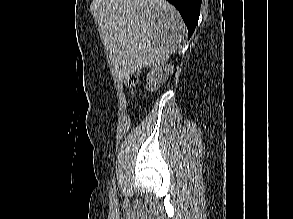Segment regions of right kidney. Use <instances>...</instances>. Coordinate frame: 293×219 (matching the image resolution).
Listing matches in <instances>:
<instances>
[{
    "label": "right kidney",
    "mask_w": 293,
    "mask_h": 219,
    "mask_svg": "<svg viewBox=\"0 0 293 219\" xmlns=\"http://www.w3.org/2000/svg\"><path fill=\"white\" fill-rule=\"evenodd\" d=\"M173 73V66L171 65H163V67H155L151 70V72L147 75V85L148 90L153 92L158 90L161 84L165 83L168 79V76Z\"/></svg>",
    "instance_id": "obj_1"
}]
</instances>
